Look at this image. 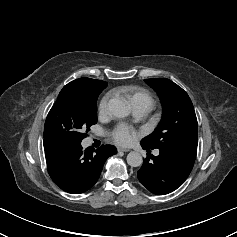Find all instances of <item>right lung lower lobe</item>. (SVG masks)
I'll list each match as a JSON object with an SVG mask.
<instances>
[{
	"label": "right lung lower lobe",
	"instance_id": "1",
	"mask_svg": "<svg viewBox=\"0 0 237 237\" xmlns=\"http://www.w3.org/2000/svg\"><path fill=\"white\" fill-rule=\"evenodd\" d=\"M44 150L50 177L61 189L72 194L90 189L97 182L106 159L117 153L111 145L83 150L81 142L59 138L44 139Z\"/></svg>",
	"mask_w": 237,
	"mask_h": 237
}]
</instances>
